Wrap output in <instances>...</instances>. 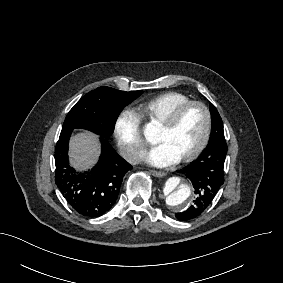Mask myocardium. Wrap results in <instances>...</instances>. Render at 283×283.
<instances>
[{"label": "myocardium", "instance_id": "myocardium-1", "mask_svg": "<svg viewBox=\"0 0 283 283\" xmlns=\"http://www.w3.org/2000/svg\"><path fill=\"white\" fill-rule=\"evenodd\" d=\"M192 106H197L203 111L204 118H205L204 135L199 145L192 151L180 157L178 161H189L197 157L198 155H200L205 150V148L207 147L209 143L210 135H211V128H212L211 112L209 108L203 102L198 101V100H191L189 102L181 104L178 107L172 109L167 114V116L159 122V124L163 126L166 130H171L176 125L180 117L184 114V112Z\"/></svg>", "mask_w": 283, "mask_h": 283}]
</instances>
